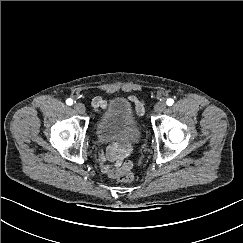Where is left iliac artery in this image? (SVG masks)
I'll list each match as a JSON object with an SVG mask.
<instances>
[{"mask_svg": "<svg viewBox=\"0 0 243 243\" xmlns=\"http://www.w3.org/2000/svg\"><path fill=\"white\" fill-rule=\"evenodd\" d=\"M173 103H174V100L171 99V98L167 99V101H166V104H167L168 106L173 105Z\"/></svg>", "mask_w": 243, "mask_h": 243, "instance_id": "44dca946", "label": "left iliac artery"}]
</instances>
